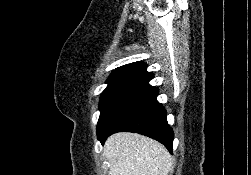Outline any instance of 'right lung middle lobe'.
Returning a JSON list of instances; mask_svg holds the SVG:
<instances>
[{"label": "right lung middle lobe", "mask_w": 251, "mask_h": 175, "mask_svg": "<svg viewBox=\"0 0 251 175\" xmlns=\"http://www.w3.org/2000/svg\"><path fill=\"white\" fill-rule=\"evenodd\" d=\"M138 81L130 77H116L107 80L108 86L101 94L99 103L100 117L98 124L105 116L110 105L129 87L136 84Z\"/></svg>", "instance_id": "right-lung-middle-lobe-1"}]
</instances>
